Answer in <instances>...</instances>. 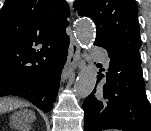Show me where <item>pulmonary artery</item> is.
<instances>
[{
	"mask_svg": "<svg viewBox=\"0 0 151 131\" xmlns=\"http://www.w3.org/2000/svg\"><path fill=\"white\" fill-rule=\"evenodd\" d=\"M94 55L99 59L101 60L105 66H108V63H109V60H108V57L107 55L103 52L102 49L100 48H94Z\"/></svg>",
	"mask_w": 151,
	"mask_h": 131,
	"instance_id": "pulmonary-artery-1",
	"label": "pulmonary artery"
}]
</instances>
